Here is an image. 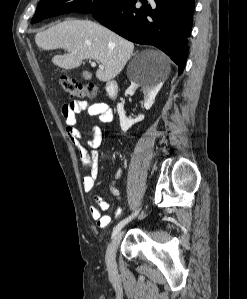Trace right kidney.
<instances>
[{
	"instance_id": "ca27d5eb",
	"label": "right kidney",
	"mask_w": 247,
	"mask_h": 299,
	"mask_svg": "<svg viewBox=\"0 0 247 299\" xmlns=\"http://www.w3.org/2000/svg\"><path fill=\"white\" fill-rule=\"evenodd\" d=\"M140 86L142 87V91L144 93V102H143L144 108L146 110H149L154 103L157 93L162 87V83L148 86V85H140L136 81H132L130 87L126 90L125 95H133ZM117 111L120 119V127L123 132H126L129 128H131L132 125L144 119V115H139L135 119L126 117L124 111V105L122 103H118Z\"/></svg>"
}]
</instances>
